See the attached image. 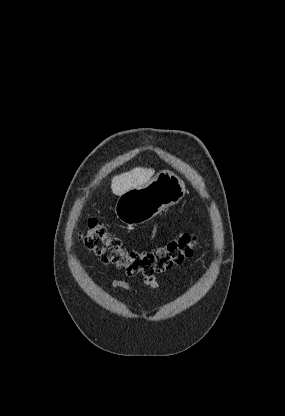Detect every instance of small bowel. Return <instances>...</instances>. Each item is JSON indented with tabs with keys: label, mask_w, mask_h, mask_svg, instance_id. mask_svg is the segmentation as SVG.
<instances>
[{
	"label": "small bowel",
	"mask_w": 285,
	"mask_h": 416,
	"mask_svg": "<svg viewBox=\"0 0 285 416\" xmlns=\"http://www.w3.org/2000/svg\"><path fill=\"white\" fill-rule=\"evenodd\" d=\"M143 283L151 289H157L158 288V283L155 280V278L152 277V276L144 277ZM111 284H112L113 287H116V288H122V289H125V290L137 292L136 288H134L132 285H130L129 283H127L125 281L113 280L111 282Z\"/></svg>",
	"instance_id": "obj_1"
}]
</instances>
